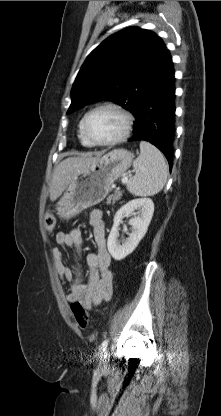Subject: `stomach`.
I'll return each mask as SVG.
<instances>
[{
    "label": "stomach",
    "instance_id": "stomach-1",
    "mask_svg": "<svg viewBox=\"0 0 221 416\" xmlns=\"http://www.w3.org/2000/svg\"><path fill=\"white\" fill-rule=\"evenodd\" d=\"M132 159L128 150L115 149L78 173L57 203V215L70 219L103 201L114 181L131 166Z\"/></svg>",
    "mask_w": 221,
    "mask_h": 416
}]
</instances>
